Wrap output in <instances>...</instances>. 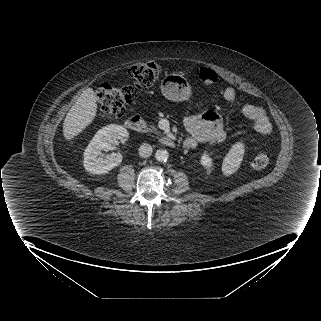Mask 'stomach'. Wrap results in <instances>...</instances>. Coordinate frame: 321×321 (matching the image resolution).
<instances>
[{
	"label": "stomach",
	"instance_id": "0dacf381",
	"mask_svg": "<svg viewBox=\"0 0 321 321\" xmlns=\"http://www.w3.org/2000/svg\"><path fill=\"white\" fill-rule=\"evenodd\" d=\"M161 92L165 98L174 102L187 100L192 95L188 80L178 72L166 74L161 81Z\"/></svg>",
	"mask_w": 321,
	"mask_h": 321
}]
</instances>
